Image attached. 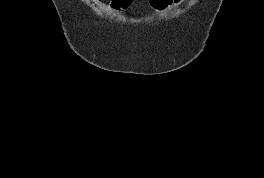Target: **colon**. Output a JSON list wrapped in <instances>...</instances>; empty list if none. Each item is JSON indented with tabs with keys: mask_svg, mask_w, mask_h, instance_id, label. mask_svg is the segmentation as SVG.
I'll return each instance as SVG.
<instances>
[{
	"mask_svg": "<svg viewBox=\"0 0 264 178\" xmlns=\"http://www.w3.org/2000/svg\"><path fill=\"white\" fill-rule=\"evenodd\" d=\"M132 0H110L109 5L112 10L122 13L129 8ZM151 8L157 12H162L166 10L170 4L171 0H148Z\"/></svg>",
	"mask_w": 264,
	"mask_h": 178,
	"instance_id": "5ec220e1",
	"label": "colon"
}]
</instances>
